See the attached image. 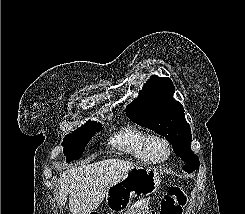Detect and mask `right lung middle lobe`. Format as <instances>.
I'll use <instances>...</instances> for the list:
<instances>
[{"label":"right lung middle lobe","instance_id":"right-lung-middle-lobe-1","mask_svg":"<svg viewBox=\"0 0 245 214\" xmlns=\"http://www.w3.org/2000/svg\"><path fill=\"white\" fill-rule=\"evenodd\" d=\"M101 128L102 125L89 120L82 127L72 132V134L67 135L62 143V146H64L63 152L66 155L67 162L81 158L84 147L95 133L101 130Z\"/></svg>","mask_w":245,"mask_h":214}]
</instances>
